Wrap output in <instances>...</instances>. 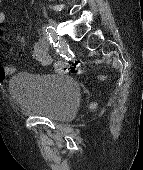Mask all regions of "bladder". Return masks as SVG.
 <instances>
[{
  "instance_id": "1",
  "label": "bladder",
  "mask_w": 143,
  "mask_h": 170,
  "mask_svg": "<svg viewBox=\"0 0 143 170\" xmlns=\"http://www.w3.org/2000/svg\"><path fill=\"white\" fill-rule=\"evenodd\" d=\"M8 89L21 110L55 121L72 119L81 100L77 81L66 73L20 72Z\"/></svg>"
}]
</instances>
